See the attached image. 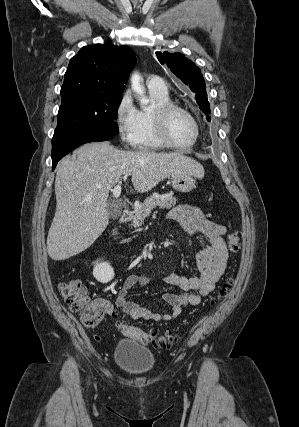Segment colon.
<instances>
[{
	"label": "colon",
	"mask_w": 299,
	"mask_h": 427,
	"mask_svg": "<svg viewBox=\"0 0 299 427\" xmlns=\"http://www.w3.org/2000/svg\"><path fill=\"white\" fill-rule=\"evenodd\" d=\"M228 248L232 253L239 250V233L232 231L228 237ZM232 287V278L226 277L219 290L218 298H225ZM64 300L73 312L79 313L83 324L88 328H95L103 317V310L93 303L87 295L84 284L78 279H70L59 284ZM118 329L125 335L134 338L142 344L153 343L158 348H168L174 343L170 334L157 336L155 333L143 331L130 323L118 322Z\"/></svg>",
	"instance_id": "obj_1"
}]
</instances>
